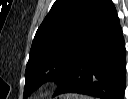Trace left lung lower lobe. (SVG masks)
Returning a JSON list of instances; mask_svg holds the SVG:
<instances>
[{"mask_svg":"<svg viewBox=\"0 0 128 99\" xmlns=\"http://www.w3.org/2000/svg\"><path fill=\"white\" fill-rule=\"evenodd\" d=\"M125 42L119 18L110 0L84 46L64 70L54 96L79 93L102 99H124Z\"/></svg>","mask_w":128,"mask_h":99,"instance_id":"1","label":"left lung lower lobe"}]
</instances>
